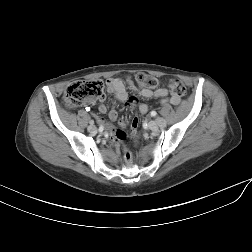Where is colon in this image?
I'll return each mask as SVG.
<instances>
[{
  "mask_svg": "<svg viewBox=\"0 0 252 252\" xmlns=\"http://www.w3.org/2000/svg\"><path fill=\"white\" fill-rule=\"evenodd\" d=\"M136 81L142 88H156L158 86V80L148 74L140 73L136 76ZM170 93L176 97H184L187 94V89L185 85L179 80H171L167 85ZM104 96V85L102 81H82L76 82L70 85L64 93V103L68 107H77L82 105L86 101L92 99H101ZM126 124V121H125ZM125 126V125H124ZM124 126H120L119 129L115 131L116 138L123 142L126 139V133L124 131ZM138 126V119L134 117L131 121V135L133 139L137 138L136 129ZM124 157L127 163L132 162V154L129 149H124Z\"/></svg>",
  "mask_w": 252,
  "mask_h": 252,
  "instance_id": "1",
  "label": "colon"
}]
</instances>
